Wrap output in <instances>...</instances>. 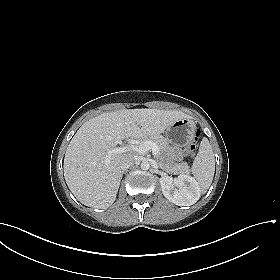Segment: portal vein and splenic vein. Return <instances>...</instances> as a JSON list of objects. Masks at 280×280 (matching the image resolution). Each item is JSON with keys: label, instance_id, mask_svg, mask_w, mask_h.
<instances>
[{"label": "portal vein and splenic vein", "instance_id": "obj_1", "mask_svg": "<svg viewBox=\"0 0 280 280\" xmlns=\"http://www.w3.org/2000/svg\"><path fill=\"white\" fill-rule=\"evenodd\" d=\"M150 150L152 151V154L154 156H156L159 153L158 145L150 140L145 141V142L141 143L140 145L131 144V145H126V146H122V147H116V148L108 151V157L106 158L105 163H106V165H109L110 157L116 153H125V152H129V151H133L138 154H144Z\"/></svg>", "mask_w": 280, "mask_h": 280}]
</instances>
